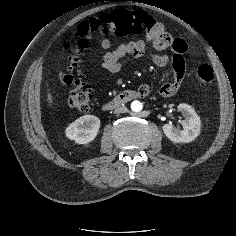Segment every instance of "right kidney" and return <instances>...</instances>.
I'll return each instance as SVG.
<instances>
[{
  "label": "right kidney",
  "mask_w": 236,
  "mask_h": 236,
  "mask_svg": "<svg viewBox=\"0 0 236 236\" xmlns=\"http://www.w3.org/2000/svg\"><path fill=\"white\" fill-rule=\"evenodd\" d=\"M100 128V119L94 115H84L72 122L65 130L66 136L78 144L93 141Z\"/></svg>",
  "instance_id": "1"
}]
</instances>
